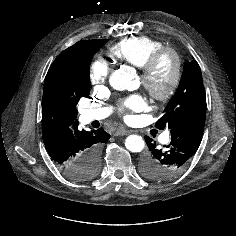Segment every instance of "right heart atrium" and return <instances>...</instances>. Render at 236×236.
<instances>
[{
  "label": "right heart atrium",
  "mask_w": 236,
  "mask_h": 236,
  "mask_svg": "<svg viewBox=\"0 0 236 236\" xmlns=\"http://www.w3.org/2000/svg\"><path fill=\"white\" fill-rule=\"evenodd\" d=\"M110 74V66L102 58H95L89 66L90 83L99 88L104 85Z\"/></svg>",
  "instance_id": "d8ad5b80"
}]
</instances>
